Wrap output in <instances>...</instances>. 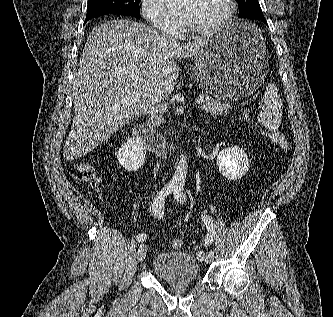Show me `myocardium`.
<instances>
[{
    "instance_id": "obj_1",
    "label": "myocardium",
    "mask_w": 333,
    "mask_h": 317,
    "mask_svg": "<svg viewBox=\"0 0 333 317\" xmlns=\"http://www.w3.org/2000/svg\"><path fill=\"white\" fill-rule=\"evenodd\" d=\"M224 2L226 5L225 12L217 22L205 28H197L186 21L185 27L187 31L193 35L206 36L223 29L230 22L235 12V0H224Z\"/></svg>"
}]
</instances>
